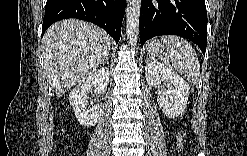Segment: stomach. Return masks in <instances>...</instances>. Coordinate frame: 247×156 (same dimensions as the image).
Returning <instances> with one entry per match:
<instances>
[{
  "instance_id": "1",
  "label": "stomach",
  "mask_w": 247,
  "mask_h": 156,
  "mask_svg": "<svg viewBox=\"0 0 247 156\" xmlns=\"http://www.w3.org/2000/svg\"><path fill=\"white\" fill-rule=\"evenodd\" d=\"M165 48V44L163 42L152 39L147 46V51L151 54H159Z\"/></svg>"
}]
</instances>
